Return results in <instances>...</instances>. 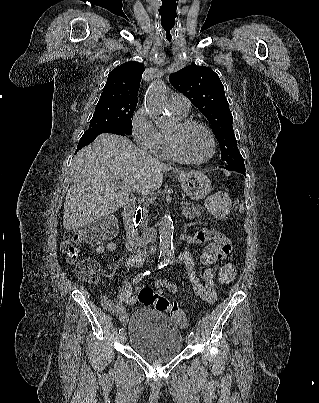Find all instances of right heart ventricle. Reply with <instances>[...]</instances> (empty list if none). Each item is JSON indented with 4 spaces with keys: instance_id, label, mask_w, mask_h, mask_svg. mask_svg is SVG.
<instances>
[{
    "instance_id": "right-heart-ventricle-1",
    "label": "right heart ventricle",
    "mask_w": 319,
    "mask_h": 403,
    "mask_svg": "<svg viewBox=\"0 0 319 403\" xmlns=\"http://www.w3.org/2000/svg\"><path fill=\"white\" fill-rule=\"evenodd\" d=\"M172 114L176 118V120H182L186 119L187 114L184 113H179L176 111L171 110ZM161 135V150H160V155L168 160H177L175 156L172 153L169 138H168V133L167 132H160Z\"/></svg>"
}]
</instances>
